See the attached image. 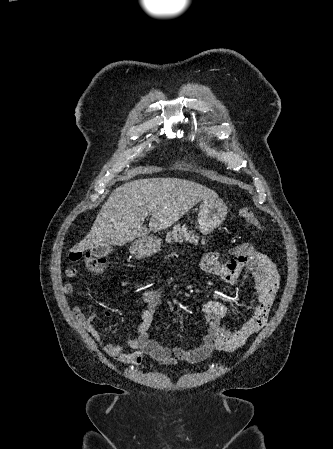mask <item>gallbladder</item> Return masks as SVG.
Segmentation results:
<instances>
[{"instance_id": "bac80fb5", "label": "gallbladder", "mask_w": 333, "mask_h": 449, "mask_svg": "<svg viewBox=\"0 0 333 449\" xmlns=\"http://www.w3.org/2000/svg\"><path fill=\"white\" fill-rule=\"evenodd\" d=\"M113 248L110 245H99L91 250L95 257H106Z\"/></svg>"}]
</instances>
